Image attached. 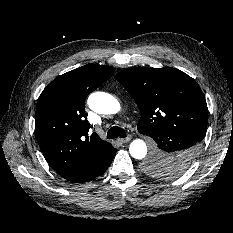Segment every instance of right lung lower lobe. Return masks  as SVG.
Wrapping results in <instances>:
<instances>
[{
    "label": "right lung lower lobe",
    "instance_id": "98d812e1",
    "mask_svg": "<svg viewBox=\"0 0 233 233\" xmlns=\"http://www.w3.org/2000/svg\"><path fill=\"white\" fill-rule=\"evenodd\" d=\"M115 153L116 149L112 147L104 159L96 163H89L73 169L63 178L75 183L91 181L106 171L110 166Z\"/></svg>",
    "mask_w": 233,
    "mask_h": 233
}]
</instances>
